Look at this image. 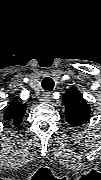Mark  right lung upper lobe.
<instances>
[{"label":"right lung upper lobe","instance_id":"obj_1","mask_svg":"<svg viewBox=\"0 0 101 180\" xmlns=\"http://www.w3.org/2000/svg\"><path fill=\"white\" fill-rule=\"evenodd\" d=\"M26 108L27 106L21 104L16 98H14L5 110L4 119L12 123L15 127H18L22 122Z\"/></svg>","mask_w":101,"mask_h":180}]
</instances>
